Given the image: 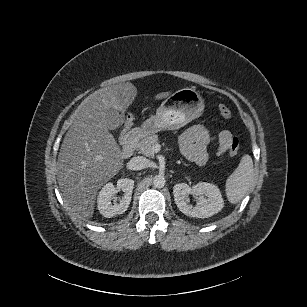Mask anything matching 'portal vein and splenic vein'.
Wrapping results in <instances>:
<instances>
[{"mask_svg":"<svg viewBox=\"0 0 307 307\" xmlns=\"http://www.w3.org/2000/svg\"><path fill=\"white\" fill-rule=\"evenodd\" d=\"M153 149L155 152H159L161 150V145L157 143L153 146Z\"/></svg>","mask_w":307,"mask_h":307,"instance_id":"obj_1","label":"portal vein and splenic vein"}]
</instances>
